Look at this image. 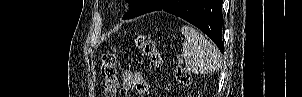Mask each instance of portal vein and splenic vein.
Wrapping results in <instances>:
<instances>
[{"label":"portal vein and splenic vein","mask_w":302,"mask_h":97,"mask_svg":"<svg viewBox=\"0 0 302 97\" xmlns=\"http://www.w3.org/2000/svg\"><path fill=\"white\" fill-rule=\"evenodd\" d=\"M178 62L182 64L184 61H183L182 58H179V59H178Z\"/></svg>","instance_id":"18ae733b"}]
</instances>
